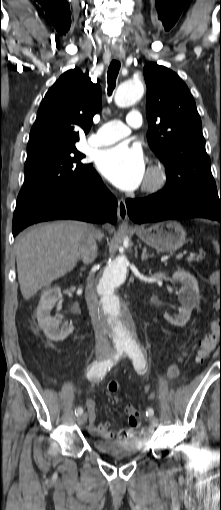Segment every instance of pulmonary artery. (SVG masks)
Masks as SVG:
<instances>
[{
	"mask_svg": "<svg viewBox=\"0 0 221 510\" xmlns=\"http://www.w3.org/2000/svg\"><path fill=\"white\" fill-rule=\"evenodd\" d=\"M142 124L140 113L132 111L128 115L127 124L113 120L104 123L95 133L89 137L93 146L101 147L114 144L127 137L131 129L139 128Z\"/></svg>",
	"mask_w": 221,
	"mask_h": 510,
	"instance_id": "obj_1",
	"label": "pulmonary artery"
}]
</instances>
